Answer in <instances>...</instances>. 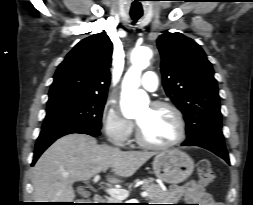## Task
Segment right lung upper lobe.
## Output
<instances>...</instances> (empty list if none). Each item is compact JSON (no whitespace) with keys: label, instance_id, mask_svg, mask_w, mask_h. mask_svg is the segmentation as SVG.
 I'll return each instance as SVG.
<instances>
[{"label":"right lung upper lobe","instance_id":"1","mask_svg":"<svg viewBox=\"0 0 253 205\" xmlns=\"http://www.w3.org/2000/svg\"><path fill=\"white\" fill-rule=\"evenodd\" d=\"M113 44L105 33L80 41L59 65L49 100L67 96L106 97Z\"/></svg>","mask_w":253,"mask_h":205}]
</instances>
